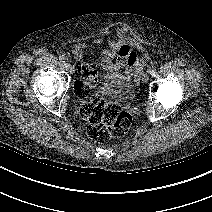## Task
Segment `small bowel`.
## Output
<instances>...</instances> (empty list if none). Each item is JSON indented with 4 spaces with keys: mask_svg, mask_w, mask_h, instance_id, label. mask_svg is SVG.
I'll list each match as a JSON object with an SVG mask.
<instances>
[{
    "mask_svg": "<svg viewBox=\"0 0 212 212\" xmlns=\"http://www.w3.org/2000/svg\"><path fill=\"white\" fill-rule=\"evenodd\" d=\"M126 32L124 28L119 30V39L109 43L99 60V65L108 71L124 70L126 79H137L152 59L142 51L138 43L132 42L127 37ZM104 39L105 33H102L89 43H78L73 48V54L80 58L87 50L101 44Z\"/></svg>",
    "mask_w": 212,
    "mask_h": 212,
    "instance_id": "c3829d8e",
    "label": "small bowel"
}]
</instances>
